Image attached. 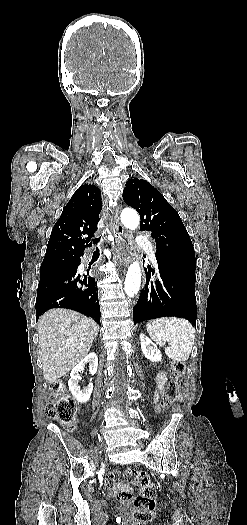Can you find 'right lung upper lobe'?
Masks as SVG:
<instances>
[{
    "label": "right lung upper lobe",
    "mask_w": 247,
    "mask_h": 525,
    "mask_svg": "<svg viewBox=\"0 0 247 525\" xmlns=\"http://www.w3.org/2000/svg\"><path fill=\"white\" fill-rule=\"evenodd\" d=\"M101 208L96 186L85 184L77 189L52 229L41 268L54 258L73 257L88 247L97 230Z\"/></svg>",
    "instance_id": "cb5924a9"
}]
</instances>
